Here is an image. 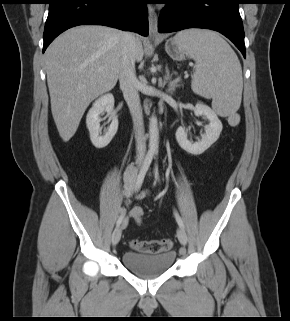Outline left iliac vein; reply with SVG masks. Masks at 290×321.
<instances>
[{
  "mask_svg": "<svg viewBox=\"0 0 290 321\" xmlns=\"http://www.w3.org/2000/svg\"><path fill=\"white\" fill-rule=\"evenodd\" d=\"M177 237H178L179 242L182 245L185 246L187 244V235H186L184 229H182L181 227L177 229Z\"/></svg>",
  "mask_w": 290,
  "mask_h": 321,
  "instance_id": "obj_1",
  "label": "left iliac vein"
}]
</instances>
